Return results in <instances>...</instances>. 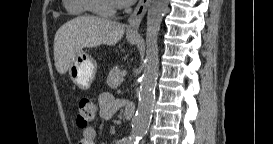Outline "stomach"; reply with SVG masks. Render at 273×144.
Instances as JSON below:
<instances>
[{"label": "stomach", "mask_w": 273, "mask_h": 144, "mask_svg": "<svg viewBox=\"0 0 273 144\" xmlns=\"http://www.w3.org/2000/svg\"><path fill=\"white\" fill-rule=\"evenodd\" d=\"M130 44H136L137 38L127 37ZM97 72L96 61L85 51H80L72 61L68 73L71 80L81 89H89Z\"/></svg>", "instance_id": "obj_1"}]
</instances>
